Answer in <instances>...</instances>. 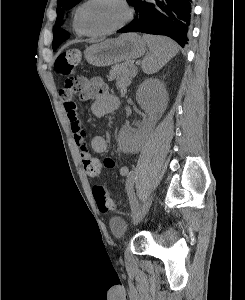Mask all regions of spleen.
Wrapping results in <instances>:
<instances>
[{"instance_id":"obj_1","label":"spleen","mask_w":245,"mask_h":300,"mask_svg":"<svg viewBox=\"0 0 245 300\" xmlns=\"http://www.w3.org/2000/svg\"><path fill=\"white\" fill-rule=\"evenodd\" d=\"M143 39L150 50L142 61V70L146 74L158 72L179 51L176 43L167 37L143 35Z\"/></svg>"}]
</instances>
